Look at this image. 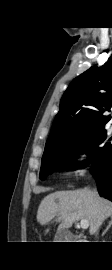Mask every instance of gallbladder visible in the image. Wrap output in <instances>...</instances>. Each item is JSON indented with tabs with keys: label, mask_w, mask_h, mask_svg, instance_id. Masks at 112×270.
<instances>
[{
	"label": "gallbladder",
	"mask_w": 112,
	"mask_h": 270,
	"mask_svg": "<svg viewBox=\"0 0 112 270\" xmlns=\"http://www.w3.org/2000/svg\"><path fill=\"white\" fill-rule=\"evenodd\" d=\"M57 242H72L76 237L66 229H59L54 237Z\"/></svg>",
	"instance_id": "obj_1"
}]
</instances>
